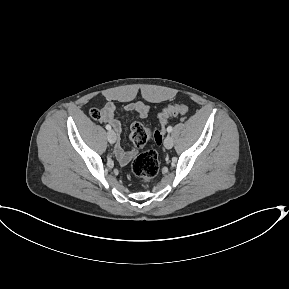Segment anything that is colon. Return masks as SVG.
I'll return each instance as SVG.
<instances>
[{"mask_svg": "<svg viewBox=\"0 0 289 289\" xmlns=\"http://www.w3.org/2000/svg\"><path fill=\"white\" fill-rule=\"evenodd\" d=\"M188 111V106L185 104H175L164 108L159 113V122L163 127L166 125L169 118L177 115L184 114ZM90 115L93 119H100V111L93 109L90 111ZM130 137L132 142L137 147H142L148 142L153 141L156 144H161L163 138L162 130L152 129L142 123L136 122L131 126ZM160 167L158 154L154 150H147L138 155L132 163V171L143 182H149L154 178Z\"/></svg>", "mask_w": 289, "mask_h": 289, "instance_id": "obj_1", "label": "colon"}]
</instances>
